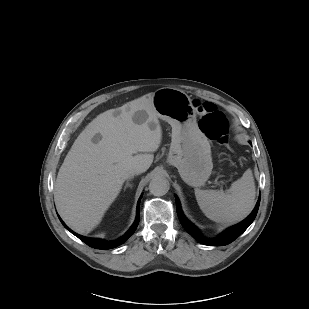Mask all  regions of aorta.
Wrapping results in <instances>:
<instances>
[{
  "label": "aorta",
  "instance_id": "obj_1",
  "mask_svg": "<svg viewBox=\"0 0 309 309\" xmlns=\"http://www.w3.org/2000/svg\"><path fill=\"white\" fill-rule=\"evenodd\" d=\"M169 190V182L161 176H155L149 183V191L154 196H163Z\"/></svg>",
  "mask_w": 309,
  "mask_h": 309
}]
</instances>
